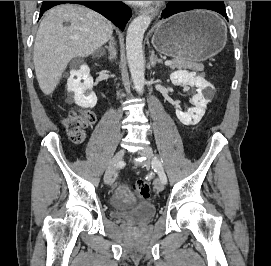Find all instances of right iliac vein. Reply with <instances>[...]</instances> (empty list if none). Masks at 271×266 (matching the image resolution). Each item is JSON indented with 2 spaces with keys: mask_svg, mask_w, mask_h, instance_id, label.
I'll return each instance as SVG.
<instances>
[{
  "mask_svg": "<svg viewBox=\"0 0 271 266\" xmlns=\"http://www.w3.org/2000/svg\"><path fill=\"white\" fill-rule=\"evenodd\" d=\"M124 155H125V150H120L112 158V160H111V162L105 172V175H104V181L106 184L112 183L113 175H114L117 167L122 162Z\"/></svg>",
  "mask_w": 271,
  "mask_h": 266,
  "instance_id": "63e3f726",
  "label": "right iliac vein"
}]
</instances>
